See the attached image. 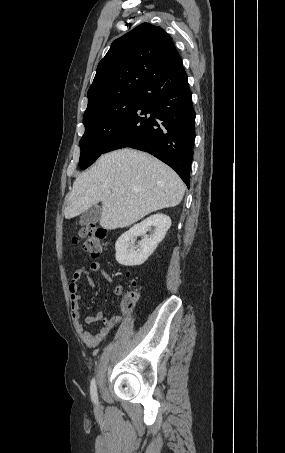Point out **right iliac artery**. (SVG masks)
<instances>
[{"mask_svg":"<svg viewBox=\"0 0 285 453\" xmlns=\"http://www.w3.org/2000/svg\"><path fill=\"white\" fill-rule=\"evenodd\" d=\"M90 393H91L92 401H93L95 404H98L97 387H96V381H95L94 378H93L92 381H91Z\"/></svg>","mask_w":285,"mask_h":453,"instance_id":"1","label":"right iliac artery"}]
</instances>
